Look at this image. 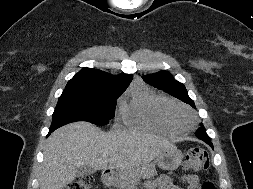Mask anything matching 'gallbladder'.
<instances>
[{
	"label": "gallbladder",
	"instance_id": "1",
	"mask_svg": "<svg viewBox=\"0 0 253 189\" xmlns=\"http://www.w3.org/2000/svg\"><path fill=\"white\" fill-rule=\"evenodd\" d=\"M94 172H95V169L93 167L86 166V165H81L76 170V176L77 177H82V176H85V175L93 174Z\"/></svg>",
	"mask_w": 253,
	"mask_h": 189
}]
</instances>
